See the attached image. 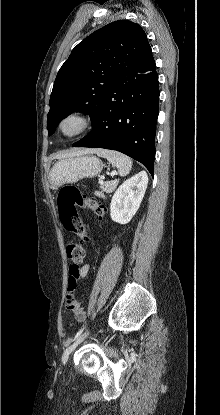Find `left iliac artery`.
Returning a JSON list of instances; mask_svg holds the SVG:
<instances>
[{
	"label": "left iliac artery",
	"instance_id": "44dca946",
	"mask_svg": "<svg viewBox=\"0 0 220 415\" xmlns=\"http://www.w3.org/2000/svg\"><path fill=\"white\" fill-rule=\"evenodd\" d=\"M85 329V327H82L78 332H77V334L75 335V338H74V340L78 337V336H80L81 335V333L83 332V330Z\"/></svg>",
	"mask_w": 220,
	"mask_h": 415
}]
</instances>
